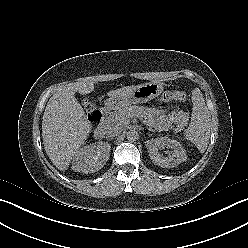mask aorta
<instances>
[{
    "instance_id": "762f6f07",
    "label": "aorta",
    "mask_w": 248,
    "mask_h": 248,
    "mask_svg": "<svg viewBox=\"0 0 248 248\" xmlns=\"http://www.w3.org/2000/svg\"><path fill=\"white\" fill-rule=\"evenodd\" d=\"M126 137L129 141H136L139 138V134L136 130L131 129L126 133Z\"/></svg>"
}]
</instances>
